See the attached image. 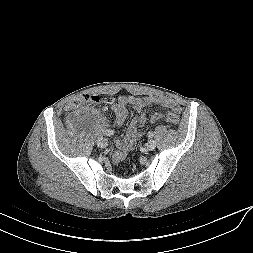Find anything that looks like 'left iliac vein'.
Instances as JSON below:
<instances>
[{
	"instance_id": "1",
	"label": "left iliac vein",
	"mask_w": 253,
	"mask_h": 253,
	"mask_svg": "<svg viewBox=\"0 0 253 253\" xmlns=\"http://www.w3.org/2000/svg\"><path fill=\"white\" fill-rule=\"evenodd\" d=\"M155 147H156V142H155V140H153V139H150L147 143H146V149L147 150H154L155 149Z\"/></svg>"
}]
</instances>
